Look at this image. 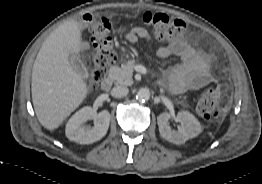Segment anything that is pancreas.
Listing matches in <instances>:
<instances>
[{
    "label": "pancreas",
    "instance_id": "pancreas-1",
    "mask_svg": "<svg viewBox=\"0 0 262 184\" xmlns=\"http://www.w3.org/2000/svg\"><path fill=\"white\" fill-rule=\"evenodd\" d=\"M136 62L134 60H129L125 64H122L121 67L113 66L110 68V77L117 84L120 85H132L133 79L132 74L134 71V67Z\"/></svg>",
    "mask_w": 262,
    "mask_h": 184
}]
</instances>
